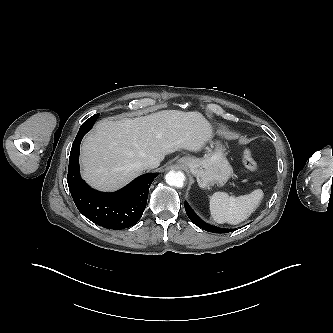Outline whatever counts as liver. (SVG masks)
<instances>
[{
  "mask_svg": "<svg viewBox=\"0 0 333 333\" xmlns=\"http://www.w3.org/2000/svg\"><path fill=\"white\" fill-rule=\"evenodd\" d=\"M211 138V125L198 112L163 110L134 119H103L82 143V176L98 190L115 191L143 172L142 161L161 162L178 149L197 152Z\"/></svg>",
  "mask_w": 333,
  "mask_h": 333,
  "instance_id": "liver-1",
  "label": "liver"
}]
</instances>
